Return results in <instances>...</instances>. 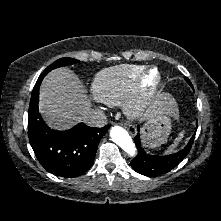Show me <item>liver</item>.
I'll return each instance as SVG.
<instances>
[{
	"label": "liver",
	"mask_w": 221,
	"mask_h": 221,
	"mask_svg": "<svg viewBox=\"0 0 221 221\" xmlns=\"http://www.w3.org/2000/svg\"><path fill=\"white\" fill-rule=\"evenodd\" d=\"M91 102L78 76L62 67L49 72L39 92V109L47 123L57 129H67L81 121ZM170 115L178 119V107L172 98L168 105Z\"/></svg>",
	"instance_id": "liver-1"
}]
</instances>
